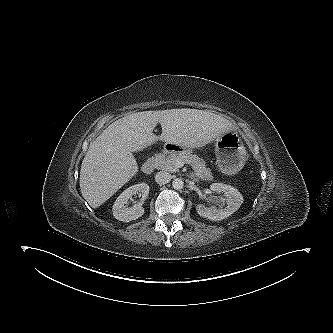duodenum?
Wrapping results in <instances>:
<instances>
[{
	"label": "duodenum",
	"mask_w": 333,
	"mask_h": 333,
	"mask_svg": "<svg viewBox=\"0 0 333 333\" xmlns=\"http://www.w3.org/2000/svg\"><path fill=\"white\" fill-rule=\"evenodd\" d=\"M168 147L164 148L162 151L157 152L153 156H151L148 160L144 162L142 165V171L149 174L153 172V170L161 163L164 158V155L169 152Z\"/></svg>",
	"instance_id": "duodenum-1"
}]
</instances>
